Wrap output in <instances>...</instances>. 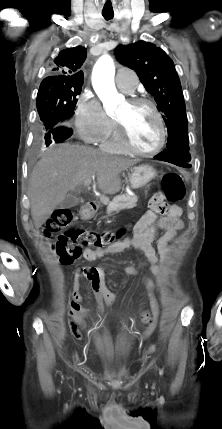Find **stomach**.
I'll return each instance as SVG.
<instances>
[{"mask_svg":"<svg viewBox=\"0 0 222 429\" xmlns=\"http://www.w3.org/2000/svg\"><path fill=\"white\" fill-rule=\"evenodd\" d=\"M157 175L155 169L149 165H140L134 167L129 175L130 187L134 190L141 189L146 186ZM91 213H85V216H90Z\"/></svg>","mask_w":222,"mask_h":429,"instance_id":"1","label":"stomach"}]
</instances>
